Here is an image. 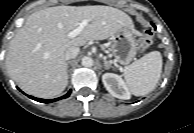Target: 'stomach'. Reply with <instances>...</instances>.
I'll use <instances>...</instances> for the list:
<instances>
[{
    "mask_svg": "<svg viewBox=\"0 0 194 133\" xmlns=\"http://www.w3.org/2000/svg\"><path fill=\"white\" fill-rule=\"evenodd\" d=\"M135 36L136 31L130 26L122 27L112 36L109 51L115 62L127 65L135 58L138 45Z\"/></svg>",
    "mask_w": 194,
    "mask_h": 133,
    "instance_id": "0dacf381",
    "label": "stomach"
}]
</instances>
